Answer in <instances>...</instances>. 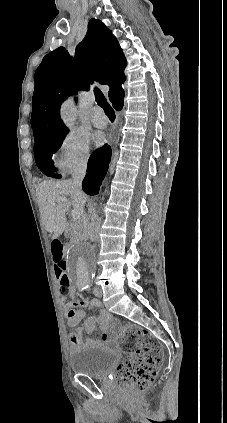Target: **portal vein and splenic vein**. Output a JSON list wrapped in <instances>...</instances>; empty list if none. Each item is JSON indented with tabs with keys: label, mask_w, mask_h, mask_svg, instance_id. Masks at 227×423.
<instances>
[{
	"label": "portal vein and splenic vein",
	"mask_w": 227,
	"mask_h": 423,
	"mask_svg": "<svg viewBox=\"0 0 227 423\" xmlns=\"http://www.w3.org/2000/svg\"><path fill=\"white\" fill-rule=\"evenodd\" d=\"M72 217H74V219H78V217H80L79 211L73 210Z\"/></svg>",
	"instance_id": "portal-vein-and-splenic-vein-1"
}]
</instances>
